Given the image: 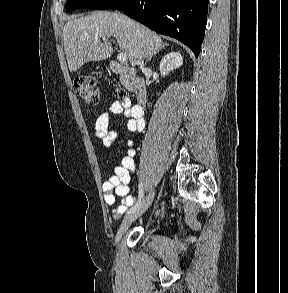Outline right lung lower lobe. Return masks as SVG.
Here are the masks:
<instances>
[{
  "instance_id": "1",
  "label": "right lung lower lobe",
  "mask_w": 288,
  "mask_h": 293,
  "mask_svg": "<svg viewBox=\"0 0 288 293\" xmlns=\"http://www.w3.org/2000/svg\"><path fill=\"white\" fill-rule=\"evenodd\" d=\"M209 0H121L111 7L150 29L176 38L198 57Z\"/></svg>"
}]
</instances>
